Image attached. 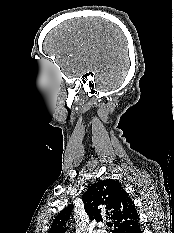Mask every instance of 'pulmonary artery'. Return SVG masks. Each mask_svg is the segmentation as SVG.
Returning <instances> with one entry per match:
<instances>
[{"mask_svg":"<svg viewBox=\"0 0 174 233\" xmlns=\"http://www.w3.org/2000/svg\"><path fill=\"white\" fill-rule=\"evenodd\" d=\"M94 233H103V231L102 230H96V231H94Z\"/></svg>","mask_w":174,"mask_h":233,"instance_id":"e3ab8cb5","label":"pulmonary artery"}]
</instances>
